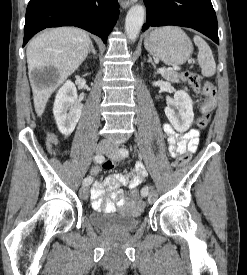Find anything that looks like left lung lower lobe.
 I'll list each match as a JSON object with an SVG mask.
<instances>
[{"mask_svg": "<svg viewBox=\"0 0 247 275\" xmlns=\"http://www.w3.org/2000/svg\"><path fill=\"white\" fill-rule=\"evenodd\" d=\"M146 23L152 26L176 25L193 28L219 44L218 24L211 0H144Z\"/></svg>", "mask_w": 247, "mask_h": 275, "instance_id": "0a47b994", "label": "left lung lower lobe"}]
</instances>
